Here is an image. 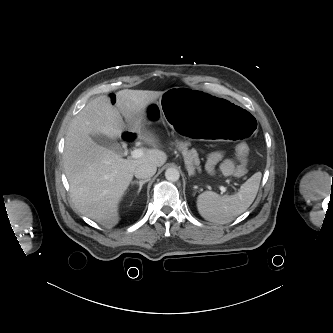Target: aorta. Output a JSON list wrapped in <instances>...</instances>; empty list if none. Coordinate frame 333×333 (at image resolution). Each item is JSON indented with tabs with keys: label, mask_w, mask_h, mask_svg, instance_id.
Here are the masks:
<instances>
[{
	"label": "aorta",
	"mask_w": 333,
	"mask_h": 333,
	"mask_svg": "<svg viewBox=\"0 0 333 333\" xmlns=\"http://www.w3.org/2000/svg\"><path fill=\"white\" fill-rule=\"evenodd\" d=\"M165 177L168 181H172V182H175V181H178L179 178H180V173L179 171L176 169V168H168L166 171H165Z\"/></svg>",
	"instance_id": "1"
}]
</instances>
